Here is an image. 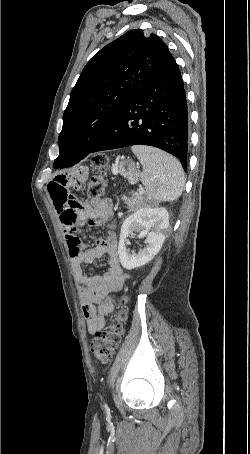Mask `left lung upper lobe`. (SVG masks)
<instances>
[{"mask_svg":"<svg viewBox=\"0 0 250 454\" xmlns=\"http://www.w3.org/2000/svg\"><path fill=\"white\" fill-rule=\"evenodd\" d=\"M171 57L157 35L141 29L128 31L97 52L72 89L58 158L88 155L125 104Z\"/></svg>","mask_w":250,"mask_h":454,"instance_id":"1","label":"left lung upper lobe"}]
</instances>
